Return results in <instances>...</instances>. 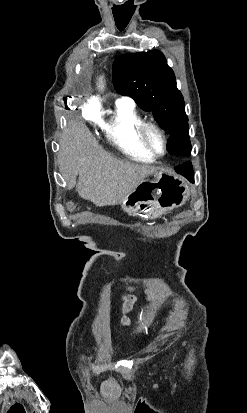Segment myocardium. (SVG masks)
<instances>
[{
    "instance_id": "f54148a6",
    "label": "myocardium",
    "mask_w": 247,
    "mask_h": 413,
    "mask_svg": "<svg viewBox=\"0 0 247 413\" xmlns=\"http://www.w3.org/2000/svg\"><path fill=\"white\" fill-rule=\"evenodd\" d=\"M149 129L155 130L160 134L163 140L164 148L161 153L156 152L153 148H151L145 139V132ZM136 139L139 146L150 156L154 158H161L163 157L168 149V138L166 133L163 129H161L158 125L151 123V122H142L136 131Z\"/></svg>"
}]
</instances>
